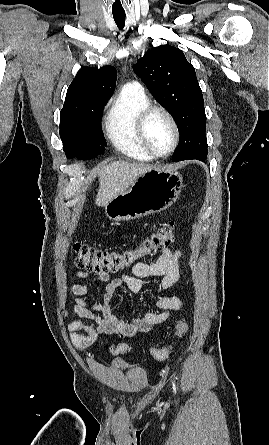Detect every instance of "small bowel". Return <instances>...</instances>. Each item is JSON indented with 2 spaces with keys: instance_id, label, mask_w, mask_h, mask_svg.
<instances>
[{
  "instance_id": "obj_1",
  "label": "small bowel",
  "mask_w": 269,
  "mask_h": 445,
  "mask_svg": "<svg viewBox=\"0 0 269 445\" xmlns=\"http://www.w3.org/2000/svg\"><path fill=\"white\" fill-rule=\"evenodd\" d=\"M179 250L164 249L152 263L137 262L130 268L129 274H122L112 280L108 273L98 272L84 284H74L70 291L74 297L73 310L82 319L95 323V327L80 320L68 323L69 336L74 346L83 350L92 346L100 333L132 337L138 333H147L165 322L173 311L183 308L184 302L176 296L162 295L155 300L159 311H145L139 316L128 319L119 318L113 311L111 302L117 289L126 287L132 293H139L148 287V280L160 281L155 291L162 293L173 287L180 278ZM89 271H78L77 278H87ZM106 283L100 303H89L82 297L89 294L93 286ZM68 313L65 312V316ZM82 332V333H80Z\"/></svg>"
}]
</instances>
